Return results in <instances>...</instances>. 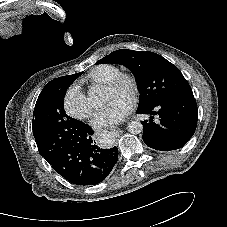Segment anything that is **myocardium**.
I'll list each match as a JSON object with an SVG mask.
<instances>
[{
    "label": "myocardium",
    "instance_id": "obj_1",
    "mask_svg": "<svg viewBox=\"0 0 227 227\" xmlns=\"http://www.w3.org/2000/svg\"><path fill=\"white\" fill-rule=\"evenodd\" d=\"M121 85H126L129 91V98L135 100L138 95V82L135 75L131 72H119L105 86L107 88H117Z\"/></svg>",
    "mask_w": 227,
    "mask_h": 227
}]
</instances>
